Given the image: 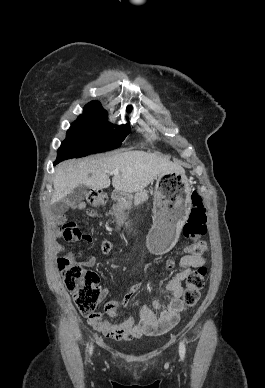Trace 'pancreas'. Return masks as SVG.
Returning a JSON list of instances; mask_svg holds the SVG:
<instances>
[{
	"label": "pancreas",
	"mask_w": 265,
	"mask_h": 388,
	"mask_svg": "<svg viewBox=\"0 0 265 388\" xmlns=\"http://www.w3.org/2000/svg\"><path fill=\"white\" fill-rule=\"evenodd\" d=\"M148 198L149 196L146 190H139V192H137V194L134 196V206H139V204H142V202H146Z\"/></svg>",
	"instance_id": "pancreas-1"
}]
</instances>
